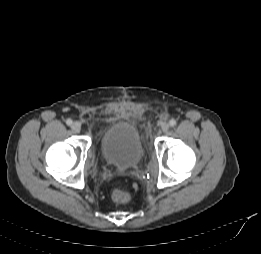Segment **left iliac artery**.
<instances>
[{"label":"left iliac artery","mask_w":261,"mask_h":254,"mask_svg":"<svg viewBox=\"0 0 261 254\" xmlns=\"http://www.w3.org/2000/svg\"><path fill=\"white\" fill-rule=\"evenodd\" d=\"M169 125H170L171 127H174V126L176 125V120L171 119V120L169 121Z\"/></svg>","instance_id":"left-iliac-artery-1"}]
</instances>
